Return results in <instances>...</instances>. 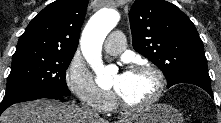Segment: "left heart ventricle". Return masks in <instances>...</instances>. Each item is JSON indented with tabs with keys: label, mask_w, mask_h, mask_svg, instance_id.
Returning <instances> with one entry per match:
<instances>
[{
	"label": "left heart ventricle",
	"mask_w": 221,
	"mask_h": 123,
	"mask_svg": "<svg viewBox=\"0 0 221 123\" xmlns=\"http://www.w3.org/2000/svg\"><path fill=\"white\" fill-rule=\"evenodd\" d=\"M112 85L128 102L134 104L149 100L157 87L154 76L146 71L118 74L114 77Z\"/></svg>",
	"instance_id": "b2bd125f"
}]
</instances>
